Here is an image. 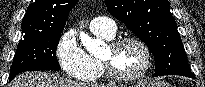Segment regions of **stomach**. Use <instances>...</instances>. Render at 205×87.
<instances>
[{
	"label": "stomach",
	"instance_id": "obj_1",
	"mask_svg": "<svg viewBox=\"0 0 205 87\" xmlns=\"http://www.w3.org/2000/svg\"><path fill=\"white\" fill-rule=\"evenodd\" d=\"M131 87H167L165 83H152L148 81H140L133 84Z\"/></svg>",
	"mask_w": 205,
	"mask_h": 87
}]
</instances>
